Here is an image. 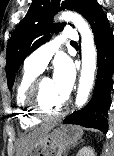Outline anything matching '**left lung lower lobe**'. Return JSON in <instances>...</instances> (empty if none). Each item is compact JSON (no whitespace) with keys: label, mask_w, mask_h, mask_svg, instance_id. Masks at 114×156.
Returning <instances> with one entry per match:
<instances>
[{"label":"left lung lower lobe","mask_w":114,"mask_h":156,"mask_svg":"<svg viewBox=\"0 0 114 156\" xmlns=\"http://www.w3.org/2000/svg\"><path fill=\"white\" fill-rule=\"evenodd\" d=\"M88 22L94 33L98 57L95 90L87 106L69 115L63 122L96 128L106 133L108 131L107 111L111 105L110 91L113 86L114 36L108 19L97 2L90 10Z\"/></svg>","instance_id":"obj_1"}]
</instances>
